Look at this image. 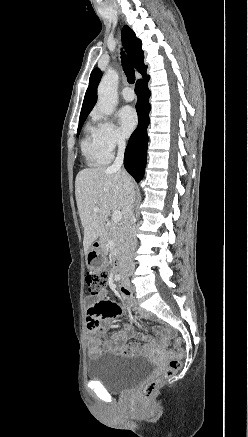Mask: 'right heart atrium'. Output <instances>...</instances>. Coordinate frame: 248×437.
I'll use <instances>...</instances> for the list:
<instances>
[{
  "label": "right heart atrium",
  "instance_id": "right-heart-atrium-1",
  "mask_svg": "<svg viewBox=\"0 0 248 437\" xmlns=\"http://www.w3.org/2000/svg\"><path fill=\"white\" fill-rule=\"evenodd\" d=\"M98 143L102 151L111 158L114 152L125 144V139L118 127L99 113L93 114Z\"/></svg>",
  "mask_w": 248,
  "mask_h": 437
}]
</instances>
